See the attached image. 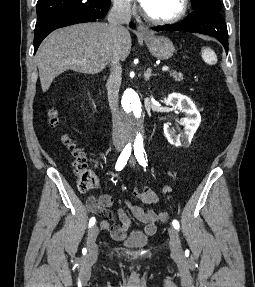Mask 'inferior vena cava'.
Here are the masks:
<instances>
[{
	"instance_id": "inferior-vena-cava-1",
	"label": "inferior vena cava",
	"mask_w": 255,
	"mask_h": 287,
	"mask_svg": "<svg viewBox=\"0 0 255 287\" xmlns=\"http://www.w3.org/2000/svg\"><path fill=\"white\" fill-rule=\"evenodd\" d=\"M131 20V6L125 0H115L113 8L108 16L111 32V68L110 76L106 84L108 90V102L112 112L113 144L115 147H124L128 142V132L121 124L119 112V90L121 86L122 66L120 64L119 40L123 30L122 24H129Z\"/></svg>"
}]
</instances>
